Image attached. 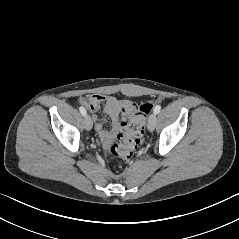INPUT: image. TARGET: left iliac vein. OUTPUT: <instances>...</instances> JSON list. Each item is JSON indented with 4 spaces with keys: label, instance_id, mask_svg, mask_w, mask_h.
Returning <instances> with one entry per match:
<instances>
[{
    "label": "left iliac vein",
    "instance_id": "obj_1",
    "mask_svg": "<svg viewBox=\"0 0 239 239\" xmlns=\"http://www.w3.org/2000/svg\"><path fill=\"white\" fill-rule=\"evenodd\" d=\"M155 126H156V114L152 113L148 119V124H147L148 130L153 131L155 129Z\"/></svg>",
    "mask_w": 239,
    "mask_h": 239
}]
</instances>
